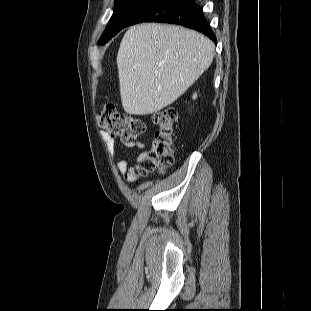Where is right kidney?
<instances>
[{"label": "right kidney", "instance_id": "ca27d5eb", "mask_svg": "<svg viewBox=\"0 0 311 311\" xmlns=\"http://www.w3.org/2000/svg\"><path fill=\"white\" fill-rule=\"evenodd\" d=\"M193 98H194V99L196 98V94L193 96Z\"/></svg>", "mask_w": 311, "mask_h": 311}]
</instances>
